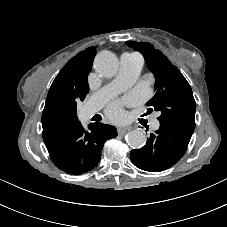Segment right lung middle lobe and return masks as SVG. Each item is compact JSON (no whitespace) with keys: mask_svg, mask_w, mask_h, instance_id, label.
I'll list each match as a JSON object with an SVG mask.
<instances>
[{"mask_svg":"<svg viewBox=\"0 0 227 227\" xmlns=\"http://www.w3.org/2000/svg\"><path fill=\"white\" fill-rule=\"evenodd\" d=\"M84 98L59 97L52 100L43 110L42 123L49 135H59L79 124L76 102Z\"/></svg>","mask_w":227,"mask_h":227,"instance_id":"dd1d6c3e","label":"right lung middle lobe"}]
</instances>
